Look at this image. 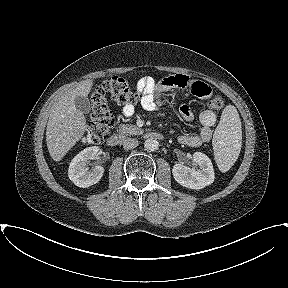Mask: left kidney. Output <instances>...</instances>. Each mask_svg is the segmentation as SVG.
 Masks as SVG:
<instances>
[{
  "instance_id": "obj_1",
  "label": "left kidney",
  "mask_w": 288,
  "mask_h": 288,
  "mask_svg": "<svg viewBox=\"0 0 288 288\" xmlns=\"http://www.w3.org/2000/svg\"><path fill=\"white\" fill-rule=\"evenodd\" d=\"M192 160L199 166V169L190 168L182 163L173 166L172 174L174 179L182 186L189 189H202L214 181V169L210 158L201 152H195Z\"/></svg>"
}]
</instances>
